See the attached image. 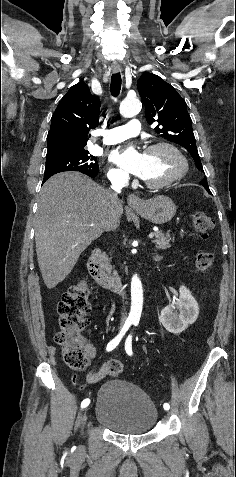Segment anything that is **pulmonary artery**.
Segmentation results:
<instances>
[{"label": "pulmonary artery", "mask_w": 236, "mask_h": 477, "mask_svg": "<svg viewBox=\"0 0 236 477\" xmlns=\"http://www.w3.org/2000/svg\"><path fill=\"white\" fill-rule=\"evenodd\" d=\"M141 131V123L138 119H131L126 125L103 129L98 133L104 135L105 144H116L128 138L138 135Z\"/></svg>", "instance_id": "1"}]
</instances>
